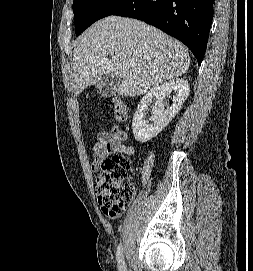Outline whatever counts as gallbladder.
<instances>
[{"instance_id":"obj_1","label":"gallbladder","mask_w":253,"mask_h":271,"mask_svg":"<svg viewBox=\"0 0 253 271\" xmlns=\"http://www.w3.org/2000/svg\"><path fill=\"white\" fill-rule=\"evenodd\" d=\"M119 82L120 78L106 75L97 83V93L104 98L111 97L116 94Z\"/></svg>"}]
</instances>
